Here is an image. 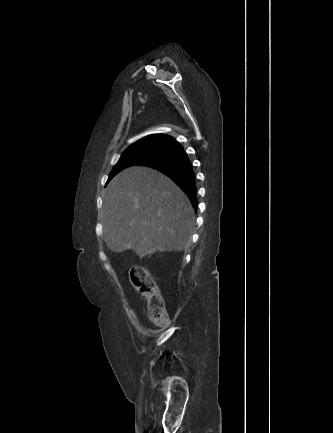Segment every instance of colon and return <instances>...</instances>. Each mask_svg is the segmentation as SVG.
<instances>
[{
    "label": "colon",
    "instance_id": "obj_1",
    "mask_svg": "<svg viewBox=\"0 0 333 433\" xmlns=\"http://www.w3.org/2000/svg\"><path fill=\"white\" fill-rule=\"evenodd\" d=\"M130 282L135 290L146 297L149 320L158 327L165 326L168 317L164 299L151 274L142 267H133L130 270Z\"/></svg>",
    "mask_w": 333,
    "mask_h": 433
}]
</instances>
